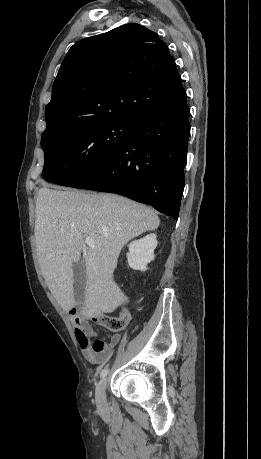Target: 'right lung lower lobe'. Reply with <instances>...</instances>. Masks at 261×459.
Masks as SVG:
<instances>
[{
  "instance_id": "1",
  "label": "right lung lower lobe",
  "mask_w": 261,
  "mask_h": 459,
  "mask_svg": "<svg viewBox=\"0 0 261 459\" xmlns=\"http://www.w3.org/2000/svg\"><path fill=\"white\" fill-rule=\"evenodd\" d=\"M186 92L166 109L140 120L127 143L70 187L110 192L178 218L190 133Z\"/></svg>"
}]
</instances>
